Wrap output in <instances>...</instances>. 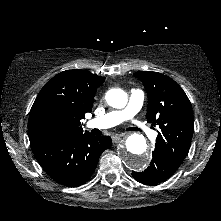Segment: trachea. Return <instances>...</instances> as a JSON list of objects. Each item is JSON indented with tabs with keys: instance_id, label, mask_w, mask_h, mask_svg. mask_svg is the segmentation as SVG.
I'll use <instances>...</instances> for the list:
<instances>
[{
	"instance_id": "obj_1",
	"label": "trachea",
	"mask_w": 221,
	"mask_h": 221,
	"mask_svg": "<svg viewBox=\"0 0 221 221\" xmlns=\"http://www.w3.org/2000/svg\"><path fill=\"white\" fill-rule=\"evenodd\" d=\"M133 131H140V129L136 128V127H132L131 128Z\"/></svg>"
}]
</instances>
